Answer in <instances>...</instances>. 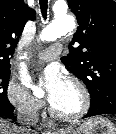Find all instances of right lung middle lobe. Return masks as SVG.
<instances>
[{
	"label": "right lung middle lobe",
	"instance_id": "obj_1",
	"mask_svg": "<svg viewBox=\"0 0 116 134\" xmlns=\"http://www.w3.org/2000/svg\"><path fill=\"white\" fill-rule=\"evenodd\" d=\"M10 77V67L0 70V113L13 108L7 98V87Z\"/></svg>",
	"mask_w": 116,
	"mask_h": 134
}]
</instances>
